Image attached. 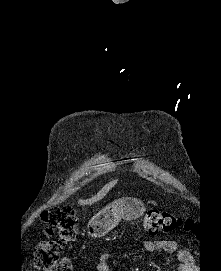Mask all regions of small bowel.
<instances>
[{
    "label": "small bowel",
    "instance_id": "c3829d8e",
    "mask_svg": "<svg viewBox=\"0 0 221 271\" xmlns=\"http://www.w3.org/2000/svg\"><path fill=\"white\" fill-rule=\"evenodd\" d=\"M144 249L153 253L156 251H162L168 254H176L180 265L178 267V271H192L193 270V258L189 251L179 249L178 244L175 240L172 239H158V240H145L143 242ZM113 258V254L109 252H105L100 255L97 264V271H111V260Z\"/></svg>",
    "mask_w": 221,
    "mask_h": 271
}]
</instances>
